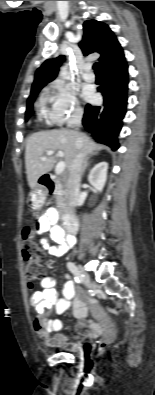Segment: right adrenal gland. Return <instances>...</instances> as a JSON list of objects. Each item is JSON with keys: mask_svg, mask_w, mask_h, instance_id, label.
Segmentation results:
<instances>
[{"mask_svg": "<svg viewBox=\"0 0 155 395\" xmlns=\"http://www.w3.org/2000/svg\"><path fill=\"white\" fill-rule=\"evenodd\" d=\"M88 160H89V157H86L85 160H84V165H83V169H82V176H83L86 168L89 166Z\"/></svg>", "mask_w": 155, "mask_h": 395, "instance_id": "right-adrenal-gland-1", "label": "right adrenal gland"}]
</instances>
